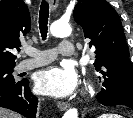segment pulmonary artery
<instances>
[{
    "mask_svg": "<svg viewBox=\"0 0 133 118\" xmlns=\"http://www.w3.org/2000/svg\"><path fill=\"white\" fill-rule=\"evenodd\" d=\"M24 51L26 54L30 55L31 58L21 60L17 64L16 69L18 72L28 71L44 64L50 63L57 57L56 50L54 48L45 50L25 48ZM58 51L61 56L69 57L74 54L75 48L71 41L62 40L59 43Z\"/></svg>",
    "mask_w": 133,
    "mask_h": 118,
    "instance_id": "pulmonary-artery-1",
    "label": "pulmonary artery"
}]
</instances>
